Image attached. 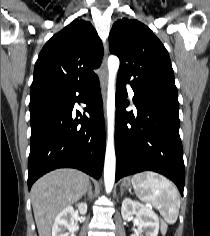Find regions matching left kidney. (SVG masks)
<instances>
[{"label":"left kidney","instance_id":"left-kidney-1","mask_svg":"<svg viewBox=\"0 0 210 236\" xmlns=\"http://www.w3.org/2000/svg\"><path fill=\"white\" fill-rule=\"evenodd\" d=\"M121 214L125 220L136 215L138 231L131 236H139L143 231H145L146 236H158L159 218L156 213L147 206L125 198L122 202Z\"/></svg>","mask_w":210,"mask_h":236}]
</instances>
